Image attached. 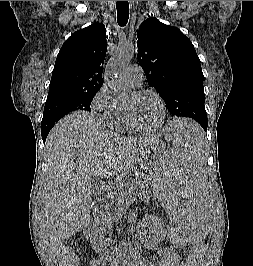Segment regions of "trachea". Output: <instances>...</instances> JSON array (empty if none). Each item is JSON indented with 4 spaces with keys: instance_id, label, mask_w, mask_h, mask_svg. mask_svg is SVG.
<instances>
[{
    "instance_id": "trachea-1",
    "label": "trachea",
    "mask_w": 253,
    "mask_h": 266,
    "mask_svg": "<svg viewBox=\"0 0 253 266\" xmlns=\"http://www.w3.org/2000/svg\"><path fill=\"white\" fill-rule=\"evenodd\" d=\"M117 21L121 27H124L129 19V3L128 1H117Z\"/></svg>"
}]
</instances>
